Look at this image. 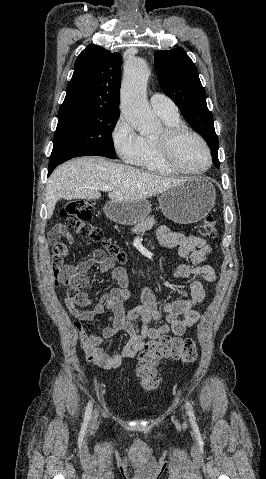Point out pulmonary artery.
<instances>
[{
  "label": "pulmonary artery",
  "instance_id": "pulmonary-artery-1",
  "mask_svg": "<svg viewBox=\"0 0 266 479\" xmlns=\"http://www.w3.org/2000/svg\"><path fill=\"white\" fill-rule=\"evenodd\" d=\"M152 109L159 115L177 116L178 108L175 103L166 95L154 93L150 97Z\"/></svg>",
  "mask_w": 266,
  "mask_h": 479
}]
</instances>
